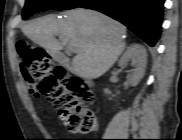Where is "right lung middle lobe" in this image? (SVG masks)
Listing matches in <instances>:
<instances>
[{
	"instance_id": "dd1d6c3e",
	"label": "right lung middle lobe",
	"mask_w": 182,
	"mask_h": 140,
	"mask_svg": "<svg viewBox=\"0 0 182 140\" xmlns=\"http://www.w3.org/2000/svg\"><path fill=\"white\" fill-rule=\"evenodd\" d=\"M88 0H26L22 17L27 19L32 14L46 10H68L80 7Z\"/></svg>"
}]
</instances>
